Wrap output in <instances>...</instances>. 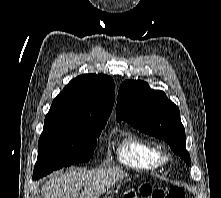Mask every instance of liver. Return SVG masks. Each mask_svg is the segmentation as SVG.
Returning a JSON list of instances; mask_svg holds the SVG:
<instances>
[{
	"instance_id": "6515ba94",
	"label": "liver",
	"mask_w": 221,
	"mask_h": 198,
	"mask_svg": "<svg viewBox=\"0 0 221 198\" xmlns=\"http://www.w3.org/2000/svg\"><path fill=\"white\" fill-rule=\"evenodd\" d=\"M128 176L119 168L57 173L42 186L43 198H99L119 180ZM81 187L84 192L80 194Z\"/></svg>"
}]
</instances>
